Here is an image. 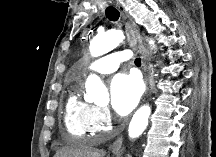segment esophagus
Listing matches in <instances>:
<instances>
[{
    "label": "esophagus",
    "instance_id": "34e87169",
    "mask_svg": "<svg viewBox=\"0 0 216 157\" xmlns=\"http://www.w3.org/2000/svg\"><path fill=\"white\" fill-rule=\"evenodd\" d=\"M115 7L119 10L121 16L123 19H127L129 17L128 12L126 11L125 7L119 3V2H114ZM131 35L134 39L137 40L138 42V47L141 53V57H142V65H143V70H144V82L146 85V91L148 90V75H147V55H146V50L142 44V39L139 35V33L137 32V30L135 29H131ZM122 146V137H119L118 139H116L113 144L111 145L110 149L113 152H117L120 150Z\"/></svg>",
    "mask_w": 216,
    "mask_h": 157
}]
</instances>
